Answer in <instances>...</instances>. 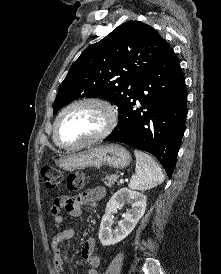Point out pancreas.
<instances>
[{"mask_svg": "<svg viewBox=\"0 0 221 274\" xmlns=\"http://www.w3.org/2000/svg\"><path fill=\"white\" fill-rule=\"evenodd\" d=\"M118 178H119V176L116 174L106 175V177L103 179V181L106 186L112 187L114 185V183H118Z\"/></svg>", "mask_w": 221, "mask_h": 274, "instance_id": "pancreas-1", "label": "pancreas"}]
</instances>
